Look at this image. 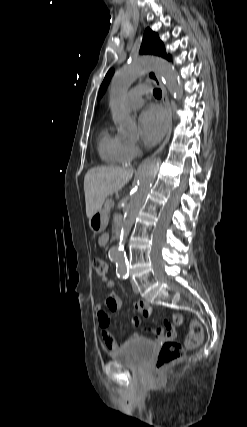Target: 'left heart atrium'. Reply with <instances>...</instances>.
Returning <instances> with one entry per match:
<instances>
[{"mask_svg":"<svg viewBox=\"0 0 247 427\" xmlns=\"http://www.w3.org/2000/svg\"><path fill=\"white\" fill-rule=\"evenodd\" d=\"M141 138L146 145L156 144L164 135L168 118L163 109L158 106H150L139 119Z\"/></svg>","mask_w":247,"mask_h":427,"instance_id":"39dd6f15","label":"left heart atrium"}]
</instances>
